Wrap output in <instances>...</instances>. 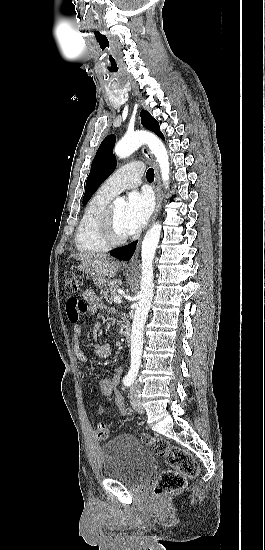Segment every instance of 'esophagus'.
<instances>
[{
  "label": "esophagus",
  "instance_id": "obj_1",
  "mask_svg": "<svg viewBox=\"0 0 265 550\" xmlns=\"http://www.w3.org/2000/svg\"><path fill=\"white\" fill-rule=\"evenodd\" d=\"M142 153L149 161H151L155 171L154 189H155V195H156V207H155L154 214L151 218V224H152L155 221L161 207L159 169H158L156 160L154 159L153 155L150 153L147 147L144 146L142 148ZM138 255H139L138 250H136L132 258L126 263L125 266L129 269H135L138 263Z\"/></svg>",
  "mask_w": 265,
  "mask_h": 550
}]
</instances>
